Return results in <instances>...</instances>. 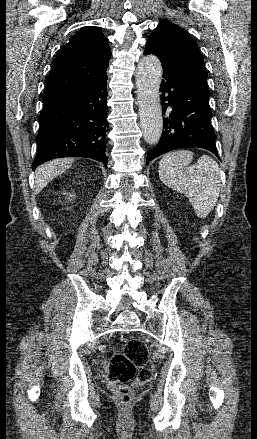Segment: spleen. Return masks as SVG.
<instances>
[{
	"label": "spleen",
	"instance_id": "obj_1",
	"mask_svg": "<svg viewBox=\"0 0 257 439\" xmlns=\"http://www.w3.org/2000/svg\"><path fill=\"white\" fill-rule=\"evenodd\" d=\"M193 152L178 150L165 154L159 162V177L169 188L186 195L196 216L205 219L219 197V167L207 155L190 165Z\"/></svg>",
	"mask_w": 257,
	"mask_h": 439
}]
</instances>
